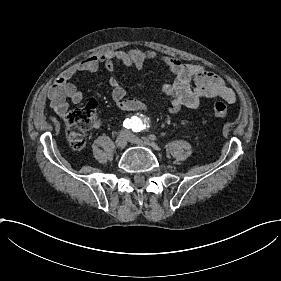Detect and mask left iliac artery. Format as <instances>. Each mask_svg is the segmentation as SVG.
<instances>
[{
	"label": "left iliac artery",
	"mask_w": 281,
	"mask_h": 281,
	"mask_svg": "<svg viewBox=\"0 0 281 281\" xmlns=\"http://www.w3.org/2000/svg\"><path fill=\"white\" fill-rule=\"evenodd\" d=\"M132 130L134 132H140V130H143V124H142L141 120H139L138 118H135L133 120Z\"/></svg>",
	"instance_id": "1"
}]
</instances>
